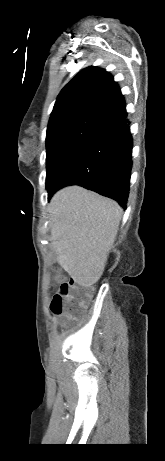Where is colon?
I'll return each instance as SVG.
<instances>
[{
    "label": "colon",
    "instance_id": "colon-1",
    "mask_svg": "<svg viewBox=\"0 0 165 461\" xmlns=\"http://www.w3.org/2000/svg\"><path fill=\"white\" fill-rule=\"evenodd\" d=\"M55 279L58 290L52 298L50 310L64 324H68L82 313L90 300L92 288L79 285L72 278H66L58 272Z\"/></svg>",
    "mask_w": 165,
    "mask_h": 461
}]
</instances>
